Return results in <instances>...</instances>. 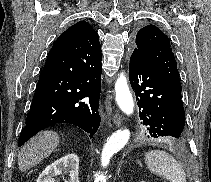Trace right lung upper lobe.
Wrapping results in <instances>:
<instances>
[{
    "instance_id": "cb5924a9",
    "label": "right lung upper lobe",
    "mask_w": 211,
    "mask_h": 182,
    "mask_svg": "<svg viewBox=\"0 0 211 182\" xmlns=\"http://www.w3.org/2000/svg\"><path fill=\"white\" fill-rule=\"evenodd\" d=\"M95 30L85 21H80L65 32L56 40L59 44L69 43V42H78L79 40L90 36Z\"/></svg>"
}]
</instances>
